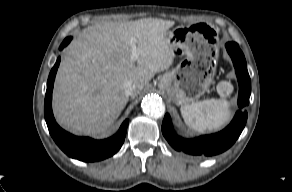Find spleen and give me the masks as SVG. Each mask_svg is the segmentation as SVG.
I'll list each match as a JSON object with an SVG mask.
<instances>
[{
  "label": "spleen",
  "instance_id": "1",
  "mask_svg": "<svg viewBox=\"0 0 292 192\" xmlns=\"http://www.w3.org/2000/svg\"><path fill=\"white\" fill-rule=\"evenodd\" d=\"M221 99H207L181 106L180 111L185 124L196 132L217 130L223 126L229 116V104L224 98L233 92L230 82L221 81L217 85Z\"/></svg>",
  "mask_w": 292,
  "mask_h": 192
}]
</instances>
